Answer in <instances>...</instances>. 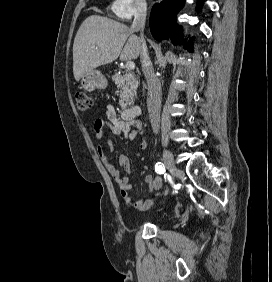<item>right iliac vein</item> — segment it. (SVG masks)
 Returning a JSON list of instances; mask_svg holds the SVG:
<instances>
[{"label":"right iliac vein","mask_w":272,"mask_h":282,"mask_svg":"<svg viewBox=\"0 0 272 282\" xmlns=\"http://www.w3.org/2000/svg\"><path fill=\"white\" fill-rule=\"evenodd\" d=\"M163 161H164V164L167 167V169L172 174V176L175 177L177 172H178V169H177V167L175 165L173 156H172L171 152L168 149H164Z\"/></svg>","instance_id":"obj_1"}]
</instances>
